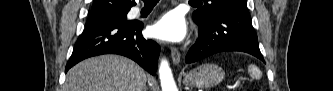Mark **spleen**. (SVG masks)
<instances>
[{
    "label": "spleen",
    "mask_w": 333,
    "mask_h": 91,
    "mask_svg": "<svg viewBox=\"0 0 333 91\" xmlns=\"http://www.w3.org/2000/svg\"><path fill=\"white\" fill-rule=\"evenodd\" d=\"M248 73L253 79H256V80H258L262 77V72L260 71V69L253 64H250L248 66Z\"/></svg>",
    "instance_id": "obj_1"
}]
</instances>
